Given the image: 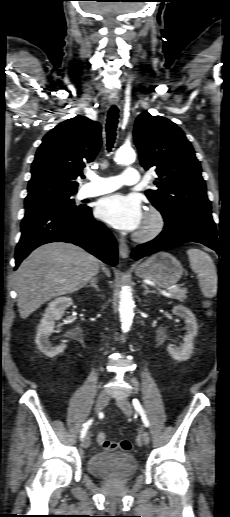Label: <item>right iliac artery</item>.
<instances>
[{"label": "right iliac artery", "instance_id": "1", "mask_svg": "<svg viewBox=\"0 0 230 517\" xmlns=\"http://www.w3.org/2000/svg\"><path fill=\"white\" fill-rule=\"evenodd\" d=\"M92 422H93V419H90V420H88V421L83 425V428H82V430H81V439H83V438H84V436L86 435L87 430H88V428L90 427V425L92 424Z\"/></svg>", "mask_w": 230, "mask_h": 517}]
</instances>
